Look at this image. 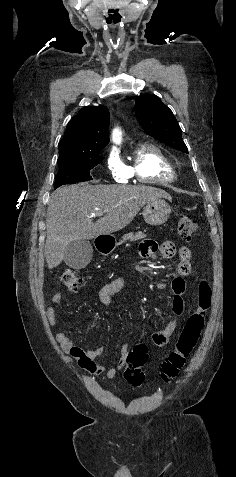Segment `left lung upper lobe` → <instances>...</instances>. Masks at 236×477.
<instances>
[{
    "instance_id": "obj_1",
    "label": "left lung upper lobe",
    "mask_w": 236,
    "mask_h": 477,
    "mask_svg": "<svg viewBox=\"0 0 236 477\" xmlns=\"http://www.w3.org/2000/svg\"><path fill=\"white\" fill-rule=\"evenodd\" d=\"M135 113L139 124L148 135L174 149L188 153L176 118L158 96L141 95L135 103Z\"/></svg>"
}]
</instances>
